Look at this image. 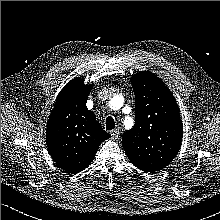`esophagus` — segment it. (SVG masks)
Segmentation results:
<instances>
[{"label": "esophagus", "mask_w": 220, "mask_h": 220, "mask_svg": "<svg viewBox=\"0 0 220 220\" xmlns=\"http://www.w3.org/2000/svg\"><path fill=\"white\" fill-rule=\"evenodd\" d=\"M120 131L118 129H113L110 131L112 139H117L119 137Z\"/></svg>", "instance_id": "obj_1"}]
</instances>
